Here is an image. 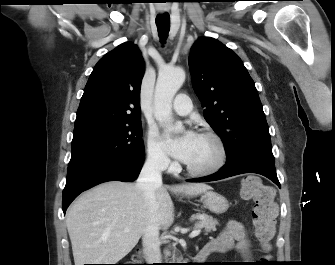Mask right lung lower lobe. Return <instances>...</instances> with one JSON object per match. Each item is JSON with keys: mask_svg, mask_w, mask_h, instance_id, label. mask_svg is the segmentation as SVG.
I'll return each instance as SVG.
<instances>
[{"mask_svg": "<svg viewBox=\"0 0 335 265\" xmlns=\"http://www.w3.org/2000/svg\"><path fill=\"white\" fill-rule=\"evenodd\" d=\"M143 158L131 162L93 161L68 169L63 190V212L83 191L106 181H133L137 178Z\"/></svg>", "mask_w": 335, "mask_h": 265, "instance_id": "98d812e1", "label": "right lung lower lobe"}]
</instances>
